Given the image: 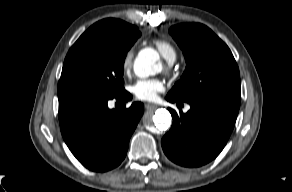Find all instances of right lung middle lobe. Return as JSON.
<instances>
[{
	"label": "right lung middle lobe",
	"instance_id": "obj_1",
	"mask_svg": "<svg viewBox=\"0 0 292 192\" xmlns=\"http://www.w3.org/2000/svg\"><path fill=\"white\" fill-rule=\"evenodd\" d=\"M141 33H125L107 21L92 25L70 48L58 90L82 88L105 96L124 89V60Z\"/></svg>",
	"mask_w": 292,
	"mask_h": 192
}]
</instances>
